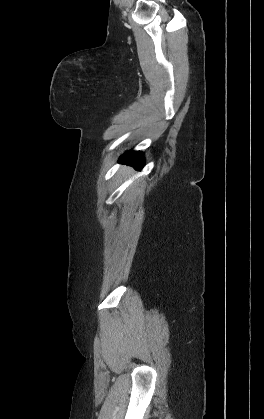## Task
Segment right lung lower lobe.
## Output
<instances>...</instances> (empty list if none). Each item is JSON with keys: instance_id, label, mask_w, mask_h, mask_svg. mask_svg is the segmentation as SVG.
<instances>
[{"instance_id": "98d812e1", "label": "right lung lower lobe", "mask_w": 264, "mask_h": 419, "mask_svg": "<svg viewBox=\"0 0 264 419\" xmlns=\"http://www.w3.org/2000/svg\"><path fill=\"white\" fill-rule=\"evenodd\" d=\"M119 162H123V163L129 164V165H132L137 169H142V167L144 166L143 153H140L139 151H137V152H132V151L125 152L120 157Z\"/></svg>"}]
</instances>
